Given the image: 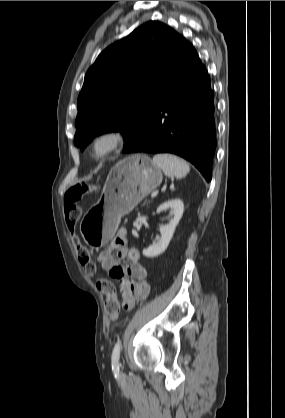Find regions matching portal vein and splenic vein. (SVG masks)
I'll return each mask as SVG.
<instances>
[{
  "instance_id": "obj_1",
  "label": "portal vein and splenic vein",
  "mask_w": 285,
  "mask_h": 418,
  "mask_svg": "<svg viewBox=\"0 0 285 418\" xmlns=\"http://www.w3.org/2000/svg\"><path fill=\"white\" fill-rule=\"evenodd\" d=\"M157 194H158V190H155L154 192H152L151 198H154Z\"/></svg>"
}]
</instances>
